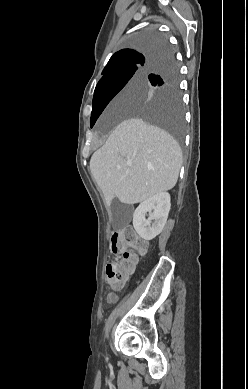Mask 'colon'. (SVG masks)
Instances as JSON below:
<instances>
[{
    "mask_svg": "<svg viewBox=\"0 0 248 389\" xmlns=\"http://www.w3.org/2000/svg\"><path fill=\"white\" fill-rule=\"evenodd\" d=\"M147 244L139 238L132 226H126L114 233L112 251L122 256L121 262H109L106 266L108 283L112 288H120L132 272L137 257L145 253Z\"/></svg>",
    "mask_w": 248,
    "mask_h": 389,
    "instance_id": "colon-1",
    "label": "colon"
}]
</instances>
